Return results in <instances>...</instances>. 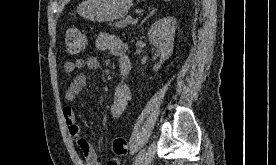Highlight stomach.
I'll list each match as a JSON object with an SVG mask.
<instances>
[{
  "label": "stomach",
  "instance_id": "stomach-1",
  "mask_svg": "<svg viewBox=\"0 0 276 165\" xmlns=\"http://www.w3.org/2000/svg\"><path fill=\"white\" fill-rule=\"evenodd\" d=\"M132 0H84L77 7V13L90 21L110 22L124 17Z\"/></svg>",
  "mask_w": 276,
  "mask_h": 165
}]
</instances>
